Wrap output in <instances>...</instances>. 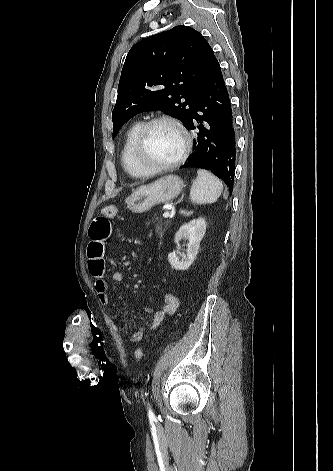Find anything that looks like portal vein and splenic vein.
Returning <instances> with one entry per match:
<instances>
[{
  "label": "portal vein and splenic vein",
  "mask_w": 333,
  "mask_h": 471,
  "mask_svg": "<svg viewBox=\"0 0 333 471\" xmlns=\"http://www.w3.org/2000/svg\"><path fill=\"white\" fill-rule=\"evenodd\" d=\"M163 217H164V218L170 217V213H169V212H164V213H163Z\"/></svg>",
  "instance_id": "18ae733b"
}]
</instances>
